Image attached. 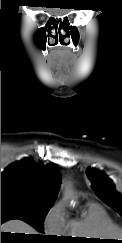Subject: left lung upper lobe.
I'll return each instance as SVG.
<instances>
[{"instance_id":"left-lung-upper-lobe-1","label":"left lung upper lobe","mask_w":122,"mask_h":243,"mask_svg":"<svg viewBox=\"0 0 122 243\" xmlns=\"http://www.w3.org/2000/svg\"><path fill=\"white\" fill-rule=\"evenodd\" d=\"M86 175L91 181L95 194L122 216V196L115 189L113 182L101 171L88 168Z\"/></svg>"}]
</instances>
